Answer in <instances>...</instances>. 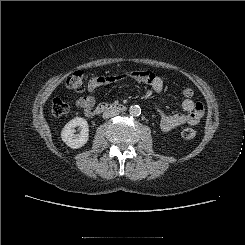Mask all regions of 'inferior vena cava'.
I'll return each mask as SVG.
<instances>
[{
	"label": "inferior vena cava",
	"mask_w": 245,
	"mask_h": 245,
	"mask_svg": "<svg viewBox=\"0 0 245 245\" xmlns=\"http://www.w3.org/2000/svg\"><path fill=\"white\" fill-rule=\"evenodd\" d=\"M116 115H118V111L117 110H115V109L106 110L103 113V118L107 119V118H110V117H113V116H116Z\"/></svg>",
	"instance_id": "inferior-vena-cava-1"
}]
</instances>
